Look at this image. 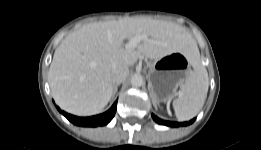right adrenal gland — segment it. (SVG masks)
<instances>
[{
  "mask_svg": "<svg viewBox=\"0 0 261 150\" xmlns=\"http://www.w3.org/2000/svg\"><path fill=\"white\" fill-rule=\"evenodd\" d=\"M119 85H120L119 83L114 84L113 95H115V93L117 92V88H118Z\"/></svg>",
  "mask_w": 261,
  "mask_h": 150,
  "instance_id": "right-adrenal-gland-1",
  "label": "right adrenal gland"
}]
</instances>
